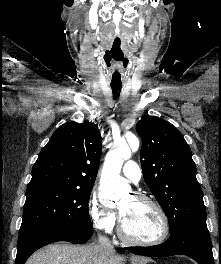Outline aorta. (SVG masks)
Segmentation results:
<instances>
[{
  "label": "aorta",
  "mask_w": 221,
  "mask_h": 264,
  "mask_svg": "<svg viewBox=\"0 0 221 264\" xmlns=\"http://www.w3.org/2000/svg\"><path fill=\"white\" fill-rule=\"evenodd\" d=\"M139 148V139L132 136L128 143L121 140L111 150L104 161L100 178V195L103 200L118 203L122 195L129 189L126 179L120 176V171L125 160L131 157V149Z\"/></svg>",
  "instance_id": "1"
}]
</instances>
